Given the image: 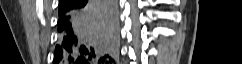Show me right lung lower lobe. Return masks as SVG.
<instances>
[{
    "label": "right lung lower lobe",
    "mask_w": 242,
    "mask_h": 64,
    "mask_svg": "<svg viewBox=\"0 0 242 64\" xmlns=\"http://www.w3.org/2000/svg\"><path fill=\"white\" fill-rule=\"evenodd\" d=\"M117 0L59 4V39L53 64H111L117 44Z\"/></svg>",
    "instance_id": "right-lung-lower-lobe-1"
}]
</instances>
